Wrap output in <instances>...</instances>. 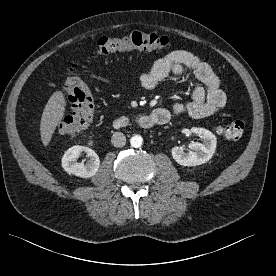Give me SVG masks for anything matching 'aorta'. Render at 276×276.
Wrapping results in <instances>:
<instances>
[{
    "instance_id": "aorta-1",
    "label": "aorta",
    "mask_w": 276,
    "mask_h": 276,
    "mask_svg": "<svg viewBox=\"0 0 276 276\" xmlns=\"http://www.w3.org/2000/svg\"><path fill=\"white\" fill-rule=\"evenodd\" d=\"M143 143V138L140 135H134L131 139H130V144L132 147L134 148H139L142 146Z\"/></svg>"
}]
</instances>
